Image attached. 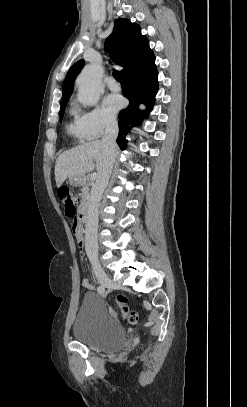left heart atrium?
I'll return each mask as SVG.
<instances>
[{
  "label": "left heart atrium",
  "mask_w": 247,
  "mask_h": 407,
  "mask_svg": "<svg viewBox=\"0 0 247 407\" xmlns=\"http://www.w3.org/2000/svg\"><path fill=\"white\" fill-rule=\"evenodd\" d=\"M104 106L110 114H115L122 108L123 99L119 95H109L104 100Z\"/></svg>",
  "instance_id": "left-heart-atrium-1"
}]
</instances>
